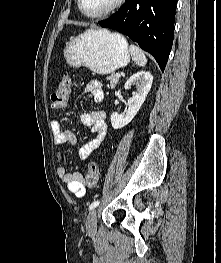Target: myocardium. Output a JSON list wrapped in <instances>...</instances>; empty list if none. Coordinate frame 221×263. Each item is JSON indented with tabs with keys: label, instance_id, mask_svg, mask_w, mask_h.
Wrapping results in <instances>:
<instances>
[{
	"label": "myocardium",
	"instance_id": "f54148a6",
	"mask_svg": "<svg viewBox=\"0 0 221 263\" xmlns=\"http://www.w3.org/2000/svg\"><path fill=\"white\" fill-rule=\"evenodd\" d=\"M125 0H116L110 7H108L107 9H105L102 12L99 13H88L82 5V0H77L78 3V7L79 10L81 11V13L90 18V19H99V18H103L106 17L112 13H114L115 11H117L123 4H124Z\"/></svg>",
	"mask_w": 221,
	"mask_h": 263
}]
</instances>
